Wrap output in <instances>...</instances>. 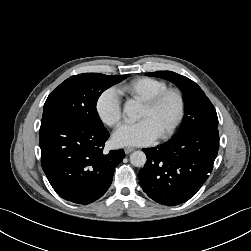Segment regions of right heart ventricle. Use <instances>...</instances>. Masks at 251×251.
Here are the masks:
<instances>
[{"label":"right heart ventricle","mask_w":251,"mask_h":251,"mask_svg":"<svg viewBox=\"0 0 251 251\" xmlns=\"http://www.w3.org/2000/svg\"><path fill=\"white\" fill-rule=\"evenodd\" d=\"M166 88L167 83L163 80L139 77L122 85L119 91L132 99L143 102Z\"/></svg>","instance_id":"right-heart-ventricle-1"}]
</instances>
